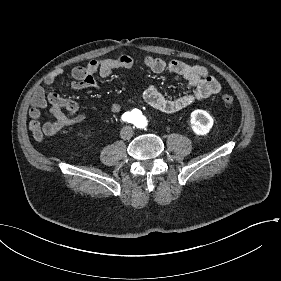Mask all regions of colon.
Here are the masks:
<instances>
[{
    "label": "colon",
    "instance_id": "1",
    "mask_svg": "<svg viewBox=\"0 0 281 281\" xmlns=\"http://www.w3.org/2000/svg\"><path fill=\"white\" fill-rule=\"evenodd\" d=\"M221 101H222V103L225 104V105H231V104H233V102H234V97L231 96V95H223V96L221 97Z\"/></svg>",
    "mask_w": 281,
    "mask_h": 281
}]
</instances>
